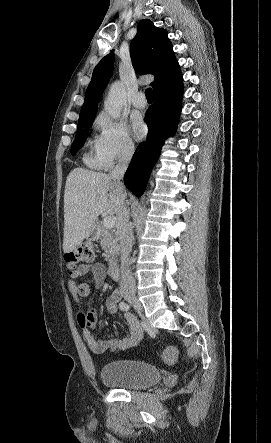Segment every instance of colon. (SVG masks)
Masks as SVG:
<instances>
[{
  "mask_svg": "<svg viewBox=\"0 0 271 443\" xmlns=\"http://www.w3.org/2000/svg\"><path fill=\"white\" fill-rule=\"evenodd\" d=\"M95 258V250L90 243H82L76 249L67 252L64 255V260L70 270L72 277H77L76 267L78 264L90 263ZM90 289L88 285L82 284L79 286L80 295H87ZM178 350L175 346H168L162 353V360L166 364H173L177 358Z\"/></svg>",
  "mask_w": 271,
  "mask_h": 443,
  "instance_id": "5ec220e1",
  "label": "colon"
}]
</instances>
